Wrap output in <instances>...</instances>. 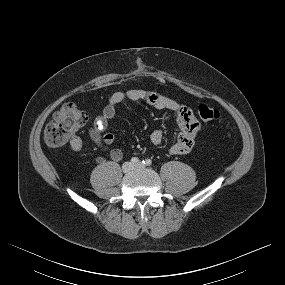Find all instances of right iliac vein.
<instances>
[{
    "instance_id": "63e3f726",
    "label": "right iliac vein",
    "mask_w": 285,
    "mask_h": 285,
    "mask_svg": "<svg viewBox=\"0 0 285 285\" xmlns=\"http://www.w3.org/2000/svg\"><path fill=\"white\" fill-rule=\"evenodd\" d=\"M132 169H133V164L131 162H125L122 165V171L124 173H127V172L131 171Z\"/></svg>"
}]
</instances>
